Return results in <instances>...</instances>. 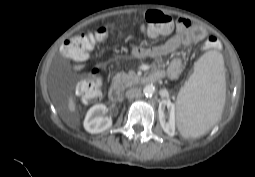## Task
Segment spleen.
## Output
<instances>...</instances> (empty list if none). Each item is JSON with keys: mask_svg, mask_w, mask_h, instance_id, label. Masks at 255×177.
I'll return each mask as SVG.
<instances>
[{"mask_svg": "<svg viewBox=\"0 0 255 177\" xmlns=\"http://www.w3.org/2000/svg\"><path fill=\"white\" fill-rule=\"evenodd\" d=\"M226 82L221 53L209 51L194 64V72L181 88L176 102L177 126L183 137H199L221 117Z\"/></svg>", "mask_w": 255, "mask_h": 177, "instance_id": "1", "label": "spleen"}]
</instances>
